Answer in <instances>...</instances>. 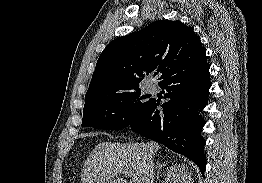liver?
I'll return each mask as SVG.
<instances>
[{
  "label": "liver",
  "instance_id": "liver-1",
  "mask_svg": "<svg viewBox=\"0 0 262 183\" xmlns=\"http://www.w3.org/2000/svg\"><path fill=\"white\" fill-rule=\"evenodd\" d=\"M157 142H101L89 154L81 172L82 183H127L120 177L124 170L136 174L142 183L154 182V155Z\"/></svg>",
  "mask_w": 262,
  "mask_h": 183
}]
</instances>
